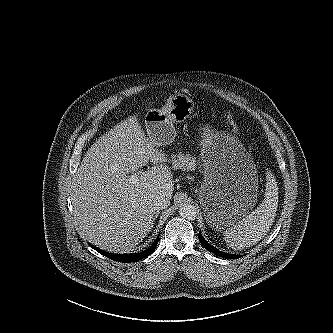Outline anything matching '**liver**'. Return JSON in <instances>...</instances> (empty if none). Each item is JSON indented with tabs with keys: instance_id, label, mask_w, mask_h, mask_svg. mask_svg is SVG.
Segmentation results:
<instances>
[{
	"instance_id": "liver-1",
	"label": "liver",
	"mask_w": 333,
	"mask_h": 333,
	"mask_svg": "<svg viewBox=\"0 0 333 333\" xmlns=\"http://www.w3.org/2000/svg\"><path fill=\"white\" fill-rule=\"evenodd\" d=\"M136 116L117 124L87 151L73 178L72 205L77 229L93 245L113 253L133 250L152 229L153 198L174 190L167 157ZM155 165L136 183L127 174Z\"/></svg>"
}]
</instances>
